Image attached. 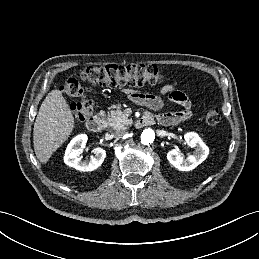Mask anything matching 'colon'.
Returning a JSON list of instances; mask_svg holds the SVG:
<instances>
[{"label":"colon","mask_w":259,"mask_h":259,"mask_svg":"<svg viewBox=\"0 0 259 259\" xmlns=\"http://www.w3.org/2000/svg\"><path fill=\"white\" fill-rule=\"evenodd\" d=\"M83 81L93 85L108 87H142L156 85L161 80V71L155 65H107L88 66L81 71ZM62 92L78 101L71 104L75 119L83 121L93 112V102L84 92L81 83L76 78H68L61 87ZM221 115L217 106L210 108L205 115L208 125L214 126L220 122Z\"/></svg>","instance_id":"1"}]
</instances>
